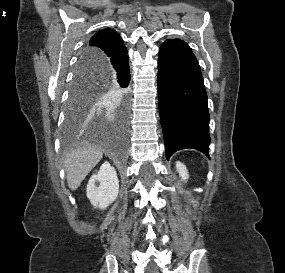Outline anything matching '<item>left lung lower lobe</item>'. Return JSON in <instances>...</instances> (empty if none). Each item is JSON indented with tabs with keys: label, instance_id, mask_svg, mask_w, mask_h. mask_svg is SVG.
<instances>
[{
	"label": "left lung lower lobe",
	"instance_id": "0a47b994",
	"mask_svg": "<svg viewBox=\"0 0 285 273\" xmlns=\"http://www.w3.org/2000/svg\"><path fill=\"white\" fill-rule=\"evenodd\" d=\"M158 100L166 158L193 148L209 156V112L199 63L182 40L168 39L159 50Z\"/></svg>",
	"mask_w": 285,
	"mask_h": 273
}]
</instances>
